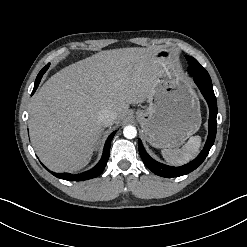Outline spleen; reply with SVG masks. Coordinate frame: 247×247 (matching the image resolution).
Segmentation results:
<instances>
[{"instance_id": "spleen-1", "label": "spleen", "mask_w": 247, "mask_h": 247, "mask_svg": "<svg viewBox=\"0 0 247 247\" xmlns=\"http://www.w3.org/2000/svg\"><path fill=\"white\" fill-rule=\"evenodd\" d=\"M201 146V137L192 136L181 149H163V158L172 165H183L196 157Z\"/></svg>"}]
</instances>
